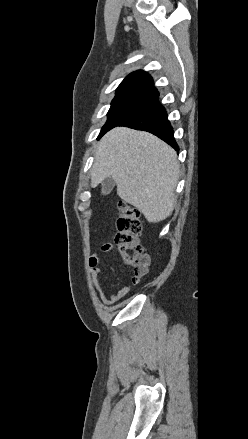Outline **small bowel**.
Masks as SVG:
<instances>
[{
  "instance_id": "1",
  "label": "small bowel",
  "mask_w": 248,
  "mask_h": 439,
  "mask_svg": "<svg viewBox=\"0 0 248 439\" xmlns=\"http://www.w3.org/2000/svg\"><path fill=\"white\" fill-rule=\"evenodd\" d=\"M112 250H113V245L109 244V243L104 244L101 248V251L103 253H108V252H111ZM100 258H101V256L99 253H93L89 258L92 286H93L99 300L104 305H112V304H115L116 302L120 301L127 294H129V292L131 291V286L136 285L139 282V279L132 277L130 284L124 285V286L120 287L118 290H116L115 292L111 293L109 296H106L101 289V285H100V282L98 279V276L100 275V273L102 271L101 267L99 266Z\"/></svg>"
}]
</instances>
